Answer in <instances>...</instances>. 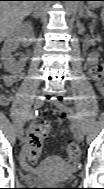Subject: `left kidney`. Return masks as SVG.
<instances>
[{
    "label": "left kidney",
    "mask_w": 104,
    "mask_h": 189,
    "mask_svg": "<svg viewBox=\"0 0 104 189\" xmlns=\"http://www.w3.org/2000/svg\"><path fill=\"white\" fill-rule=\"evenodd\" d=\"M88 60H89L90 62H96V61H97V57H94V56L91 54Z\"/></svg>",
    "instance_id": "obj_1"
}]
</instances>
